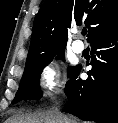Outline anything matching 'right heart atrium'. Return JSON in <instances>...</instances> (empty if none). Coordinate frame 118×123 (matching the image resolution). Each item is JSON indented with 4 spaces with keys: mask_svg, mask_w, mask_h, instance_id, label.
<instances>
[{
    "mask_svg": "<svg viewBox=\"0 0 118 123\" xmlns=\"http://www.w3.org/2000/svg\"><path fill=\"white\" fill-rule=\"evenodd\" d=\"M61 72L55 63L45 65L39 74V86L45 96L51 97L61 87Z\"/></svg>",
    "mask_w": 118,
    "mask_h": 123,
    "instance_id": "d8ad5b80",
    "label": "right heart atrium"
}]
</instances>
